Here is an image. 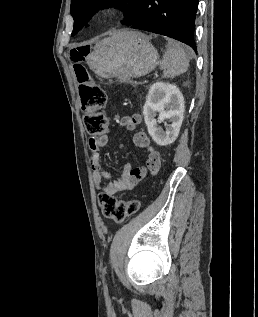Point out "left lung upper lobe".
I'll return each instance as SVG.
<instances>
[{
  "label": "left lung upper lobe",
  "mask_w": 258,
  "mask_h": 317,
  "mask_svg": "<svg viewBox=\"0 0 258 317\" xmlns=\"http://www.w3.org/2000/svg\"><path fill=\"white\" fill-rule=\"evenodd\" d=\"M141 1L142 0H72L71 14L74 18L72 36L81 30L95 12L104 7H120L125 12L123 22L127 25L136 14Z\"/></svg>",
  "instance_id": "left-lung-upper-lobe-1"
}]
</instances>
